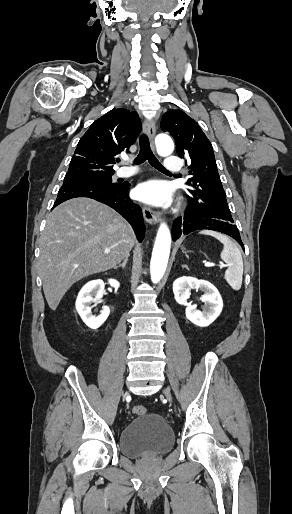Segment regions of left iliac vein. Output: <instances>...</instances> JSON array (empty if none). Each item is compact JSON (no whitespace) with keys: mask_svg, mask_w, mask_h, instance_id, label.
I'll use <instances>...</instances> for the list:
<instances>
[{"mask_svg":"<svg viewBox=\"0 0 292 514\" xmlns=\"http://www.w3.org/2000/svg\"><path fill=\"white\" fill-rule=\"evenodd\" d=\"M163 393L166 396V398L168 399V401L171 402L172 401V396L170 394V391L168 389H164Z\"/></svg>","mask_w":292,"mask_h":514,"instance_id":"1","label":"left iliac vein"}]
</instances>
